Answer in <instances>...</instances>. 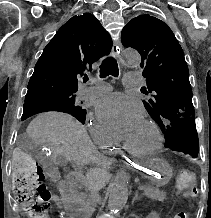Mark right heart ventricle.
I'll return each instance as SVG.
<instances>
[{
    "label": "right heart ventricle",
    "mask_w": 211,
    "mask_h": 218,
    "mask_svg": "<svg viewBox=\"0 0 211 218\" xmlns=\"http://www.w3.org/2000/svg\"><path fill=\"white\" fill-rule=\"evenodd\" d=\"M114 145H115V143L113 142V143H111V144H109V145H106V146H104V147H105L107 150L111 151L110 148L114 147Z\"/></svg>",
    "instance_id": "e07e8e85"
}]
</instances>
